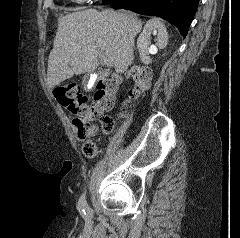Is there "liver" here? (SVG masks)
Wrapping results in <instances>:
<instances>
[{
	"label": "liver",
	"instance_id": "1",
	"mask_svg": "<svg viewBox=\"0 0 240 238\" xmlns=\"http://www.w3.org/2000/svg\"><path fill=\"white\" fill-rule=\"evenodd\" d=\"M141 28L142 22L130 12L87 9L61 16L48 59V87L74 74L93 72L100 54L116 72H125L134 59V37Z\"/></svg>",
	"mask_w": 240,
	"mask_h": 238
}]
</instances>
